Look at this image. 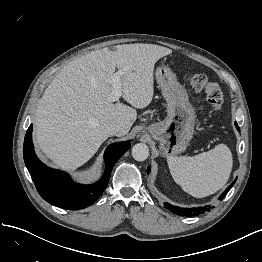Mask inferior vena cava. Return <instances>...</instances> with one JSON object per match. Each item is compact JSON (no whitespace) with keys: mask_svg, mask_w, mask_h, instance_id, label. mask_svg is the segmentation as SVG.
<instances>
[{"mask_svg":"<svg viewBox=\"0 0 262 262\" xmlns=\"http://www.w3.org/2000/svg\"><path fill=\"white\" fill-rule=\"evenodd\" d=\"M121 130L122 128L117 124H109L105 127V131L108 134V136H112V135L118 136Z\"/></svg>","mask_w":262,"mask_h":262,"instance_id":"1","label":"inferior vena cava"}]
</instances>
